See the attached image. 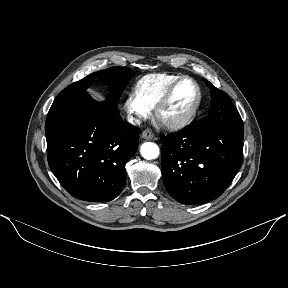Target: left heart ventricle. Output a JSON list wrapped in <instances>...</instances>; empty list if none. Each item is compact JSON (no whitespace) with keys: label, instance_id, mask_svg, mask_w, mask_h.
I'll return each mask as SVG.
<instances>
[{"label":"left heart ventricle","instance_id":"left-heart-ventricle-1","mask_svg":"<svg viewBox=\"0 0 288 288\" xmlns=\"http://www.w3.org/2000/svg\"><path fill=\"white\" fill-rule=\"evenodd\" d=\"M196 88L189 80L181 82L175 90L171 102L163 112L165 121L175 120L184 115L193 104Z\"/></svg>","mask_w":288,"mask_h":288}]
</instances>
